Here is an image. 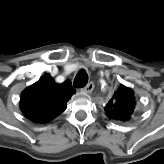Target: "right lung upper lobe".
<instances>
[{
    "label": "right lung upper lobe",
    "mask_w": 164,
    "mask_h": 164,
    "mask_svg": "<svg viewBox=\"0 0 164 164\" xmlns=\"http://www.w3.org/2000/svg\"><path fill=\"white\" fill-rule=\"evenodd\" d=\"M74 93L69 80L57 84L50 74H45L22 92L20 108L31 121L46 123L65 111Z\"/></svg>",
    "instance_id": "cb5924a9"
}]
</instances>
